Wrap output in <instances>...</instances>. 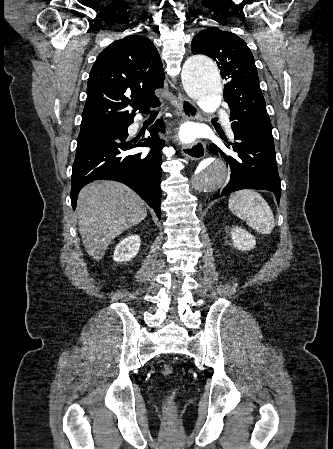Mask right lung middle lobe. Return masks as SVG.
<instances>
[{
    "label": "right lung middle lobe",
    "instance_id": "obj_1",
    "mask_svg": "<svg viewBox=\"0 0 333 449\" xmlns=\"http://www.w3.org/2000/svg\"><path fill=\"white\" fill-rule=\"evenodd\" d=\"M117 124L114 125H110V126H104V127H98V128H92V129H87V130H80V132H88V131H95V130H99V129H104V128H108V127H114Z\"/></svg>",
    "mask_w": 333,
    "mask_h": 449
}]
</instances>
